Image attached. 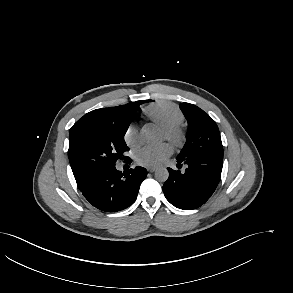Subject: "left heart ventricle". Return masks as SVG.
I'll return each mask as SVG.
<instances>
[{
	"label": "left heart ventricle",
	"mask_w": 293,
	"mask_h": 293,
	"mask_svg": "<svg viewBox=\"0 0 293 293\" xmlns=\"http://www.w3.org/2000/svg\"><path fill=\"white\" fill-rule=\"evenodd\" d=\"M163 138H165V135H164V133H163Z\"/></svg>",
	"instance_id": "1"
}]
</instances>
